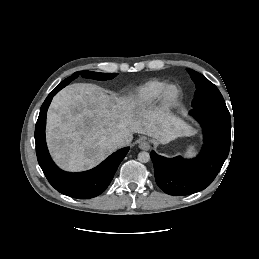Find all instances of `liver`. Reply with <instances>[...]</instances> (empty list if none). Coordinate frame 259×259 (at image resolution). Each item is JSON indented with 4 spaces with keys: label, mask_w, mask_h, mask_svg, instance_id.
Segmentation results:
<instances>
[{
    "label": "liver",
    "mask_w": 259,
    "mask_h": 259,
    "mask_svg": "<svg viewBox=\"0 0 259 259\" xmlns=\"http://www.w3.org/2000/svg\"><path fill=\"white\" fill-rule=\"evenodd\" d=\"M131 143L133 133L157 143H169L190 129L166 108L145 109L131 97L108 95L92 84L75 83L62 89L47 114L46 138L54 161L65 170L95 167L118 147L115 134Z\"/></svg>",
    "instance_id": "liver-1"
}]
</instances>
